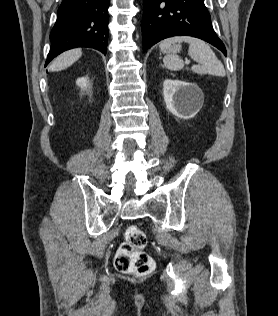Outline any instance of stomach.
I'll list each match as a JSON object with an SVG mask.
<instances>
[{"label": "stomach", "instance_id": "1", "mask_svg": "<svg viewBox=\"0 0 278 316\" xmlns=\"http://www.w3.org/2000/svg\"><path fill=\"white\" fill-rule=\"evenodd\" d=\"M180 50L179 46H173L168 49L162 50L164 53H176Z\"/></svg>", "mask_w": 278, "mask_h": 316}]
</instances>
